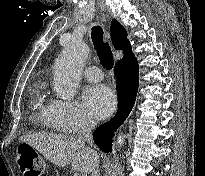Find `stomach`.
<instances>
[{"mask_svg": "<svg viewBox=\"0 0 205 176\" xmlns=\"http://www.w3.org/2000/svg\"><path fill=\"white\" fill-rule=\"evenodd\" d=\"M27 146L21 145V148H25L27 150L31 149L32 151H34L35 153H37L36 149L33 148L32 146H30L29 144H26Z\"/></svg>", "mask_w": 205, "mask_h": 176, "instance_id": "stomach-1", "label": "stomach"}]
</instances>
